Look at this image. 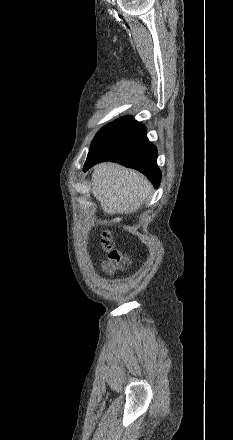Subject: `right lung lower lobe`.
<instances>
[{"instance_id":"obj_1","label":"right lung lower lobe","mask_w":233,"mask_h":440,"mask_svg":"<svg viewBox=\"0 0 233 440\" xmlns=\"http://www.w3.org/2000/svg\"><path fill=\"white\" fill-rule=\"evenodd\" d=\"M156 147L146 137V128L131 116L104 126L95 136L84 170L102 161H113L144 173L157 188L161 172Z\"/></svg>"}]
</instances>
